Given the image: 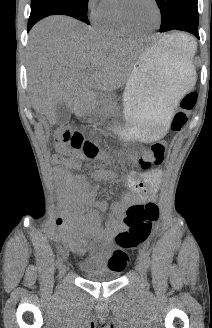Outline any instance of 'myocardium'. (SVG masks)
I'll return each mask as SVG.
<instances>
[{"label": "myocardium", "mask_w": 212, "mask_h": 328, "mask_svg": "<svg viewBox=\"0 0 212 328\" xmlns=\"http://www.w3.org/2000/svg\"><path fill=\"white\" fill-rule=\"evenodd\" d=\"M151 2L154 5L156 12H157V23L155 26H153L151 28L139 29L131 24V22L129 21V19L125 13L124 7H123V0H119L118 14H119L122 24L125 26L126 29H128L130 32H132L134 34H147V33H150L152 31L156 30L160 26L161 20H162V12H161L160 5L157 0H151Z\"/></svg>", "instance_id": "myocardium-1"}]
</instances>
